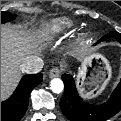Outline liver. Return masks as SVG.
I'll return each instance as SVG.
<instances>
[{"label": "liver", "instance_id": "obj_1", "mask_svg": "<svg viewBox=\"0 0 121 121\" xmlns=\"http://www.w3.org/2000/svg\"><path fill=\"white\" fill-rule=\"evenodd\" d=\"M44 33L32 35L13 26H1V101L17 86L24 59L43 49Z\"/></svg>", "mask_w": 121, "mask_h": 121}]
</instances>
